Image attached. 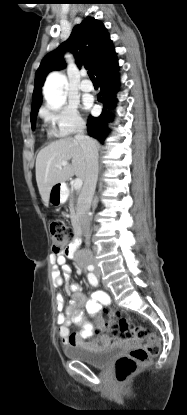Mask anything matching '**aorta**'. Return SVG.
Returning a JSON list of instances; mask_svg holds the SVG:
<instances>
[{"label":"aorta","instance_id":"1","mask_svg":"<svg viewBox=\"0 0 187 415\" xmlns=\"http://www.w3.org/2000/svg\"><path fill=\"white\" fill-rule=\"evenodd\" d=\"M67 82L66 76L60 72H52L48 75L43 87L44 98L52 110H59L66 102L63 88Z\"/></svg>","mask_w":187,"mask_h":415}]
</instances>
